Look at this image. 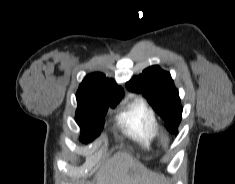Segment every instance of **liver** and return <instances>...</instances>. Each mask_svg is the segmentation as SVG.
<instances>
[{"label": "liver", "instance_id": "obj_1", "mask_svg": "<svg viewBox=\"0 0 235 184\" xmlns=\"http://www.w3.org/2000/svg\"><path fill=\"white\" fill-rule=\"evenodd\" d=\"M130 168H137L135 180L128 176ZM97 184H160V180L158 174L140 166L126 152H117L102 164Z\"/></svg>", "mask_w": 235, "mask_h": 184}]
</instances>
